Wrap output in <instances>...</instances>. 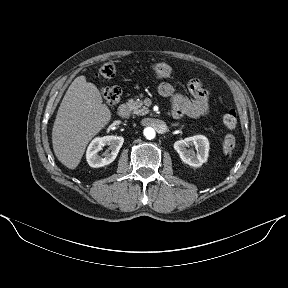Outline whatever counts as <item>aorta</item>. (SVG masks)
Returning a JSON list of instances; mask_svg holds the SVG:
<instances>
[{
    "mask_svg": "<svg viewBox=\"0 0 288 288\" xmlns=\"http://www.w3.org/2000/svg\"><path fill=\"white\" fill-rule=\"evenodd\" d=\"M156 133L155 130L152 127H147L144 129V136L151 140L155 137Z\"/></svg>",
    "mask_w": 288,
    "mask_h": 288,
    "instance_id": "aorta-1",
    "label": "aorta"
}]
</instances>
